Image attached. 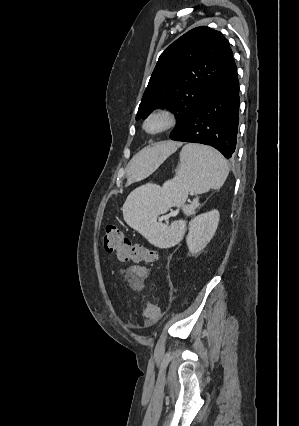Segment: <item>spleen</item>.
<instances>
[{
  "label": "spleen",
  "mask_w": 299,
  "mask_h": 426,
  "mask_svg": "<svg viewBox=\"0 0 299 426\" xmlns=\"http://www.w3.org/2000/svg\"><path fill=\"white\" fill-rule=\"evenodd\" d=\"M228 174V163L219 151L204 145L187 144L180 152L176 176L163 186L148 183L131 192L122 208L123 218L154 246L172 247L182 239L185 221L169 225L158 222L157 217L175 205H182L187 216L195 214L199 199L196 197L190 205H185L188 193L198 195L219 189Z\"/></svg>",
  "instance_id": "spleen-1"
}]
</instances>
